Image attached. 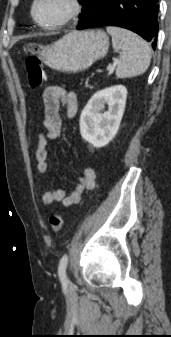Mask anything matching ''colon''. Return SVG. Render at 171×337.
<instances>
[{"label": "colon", "mask_w": 171, "mask_h": 337, "mask_svg": "<svg viewBox=\"0 0 171 337\" xmlns=\"http://www.w3.org/2000/svg\"><path fill=\"white\" fill-rule=\"evenodd\" d=\"M25 67L28 74L29 83L32 87H40L46 78L44 67L35 56L27 57ZM50 228L54 232H59L63 226V216L59 212H54L49 218Z\"/></svg>", "instance_id": "colon-1"}]
</instances>
